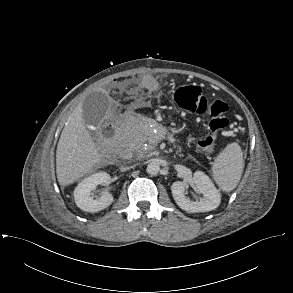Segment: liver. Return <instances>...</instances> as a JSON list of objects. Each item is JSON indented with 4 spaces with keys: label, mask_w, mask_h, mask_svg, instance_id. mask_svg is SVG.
Here are the masks:
<instances>
[{
    "label": "liver",
    "mask_w": 293,
    "mask_h": 293,
    "mask_svg": "<svg viewBox=\"0 0 293 293\" xmlns=\"http://www.w3.org/2000/svg\"><path fill=\"white\" fill-rule=\"evenodd\" d=\"M101 161L96 145L86 130L79 105L65 125L56 151V174L61 186H67L89 173Z\"/></svg>",
    "instance_id": "1"
}]
</instances>
